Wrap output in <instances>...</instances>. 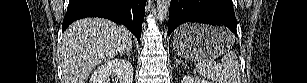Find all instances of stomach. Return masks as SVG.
Returning <instances> with one entry per match:
<instances>
[{
  "label": "stomach",
  "instance_id": "0dacf381",
  "mask_svg": "<svg viewBox=\"0 0 307 83\" xmlns=\"http://www.w3.org/2000/svg\"><path fill=\"white\" fill-rule=\"evenodd\" d=\"M234 44V36L225 28L203 24H185L173 36L177 54L192 61L214 59Z\"/></svg>",
  "mask_w": 307,
  "mask_h": 83
}]
</instances>
